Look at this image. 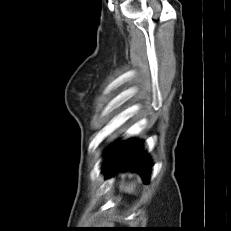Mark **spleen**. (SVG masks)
Returning a JSON list of instances; mask_svg holds the SVG:
<instances>
[{
    "instance_id": "obj_1",
    "label": "spleen",
    "mask_w": 231,
    "mask_h": 231,
    "mask_svg": "<svg viewBox=\"0 0 231 231\" xmlns=\"http://www.w3.org/2000/svg\"><path fill=\"white\" fill-rule=\"evenodd\" d=\"M120 189L121 190H124L125 192L127 193H135V190H136V183L135 182H132L128 185H120Z\"/></svg>"
}]
</instances>
